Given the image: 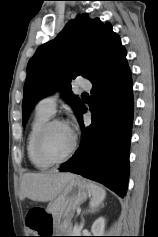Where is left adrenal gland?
<instances>
[{
    "label": "left adrenal gland",
    "mask_w": 158,
    "mask_h": 237,
    "mask_svg": "<svg viewBox=\"0 0 158 237\" xmlns=\"http://www.w3.org/2000/svg\"><path fill=\"white\" fill-rule=\"evenodd\" d=\"M85 212L82 213L81 215V218H82V221L84 222V218H83V215H84Z\"/></svg>",
    "instance_id": "a2214340"
}]
</instances>
